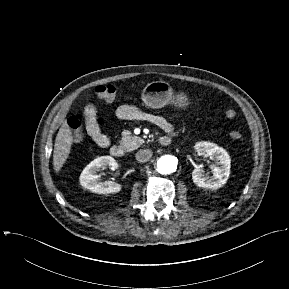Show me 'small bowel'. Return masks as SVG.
<instances>
[{
    "label": "small bowel",
    "mask_w": 289,
    "mask_h": 289,
    "mask_svg": "<svg viewBox=\"0 0 289 289\" xmlns=\"http://www.w3.org/2000/svg\"><path fill=\"white\" fill-rule=\"evenodd\" d=\"M84 116L88 135L98 146L103 148L108 147L110 145V138L101 131L95 105H87L84 109ZM116 116L123 120H146L157 125L167 133L172 132V125L165 118L144 112L134 105L125 104L119 106L116 109Z\"/></svg>",
    "instance_id": "small-bowel-1"
}]
</instances>
